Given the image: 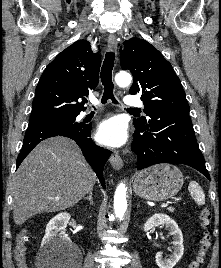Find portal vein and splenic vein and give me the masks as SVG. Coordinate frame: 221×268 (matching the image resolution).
<instances>
[{
  "label": "portal vein and splenic vein",
  "mask_w": 221,
  "mask_h": 268,
  "mask_svg": "<svg viewBox=\"0 0 221 268\" xmlns=\"http://www.w3.org/2000/svg\"><path fill=\"white\" fill-rule=\"evenodd\" d=\"M169 206V203L167 202V203H163L162 205H161V207H163V208H165V207H168Z\"/></svg>",
  "instance_id": "18ae733b"
}]
</instances>
